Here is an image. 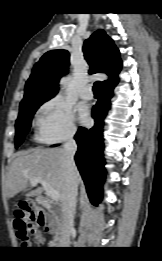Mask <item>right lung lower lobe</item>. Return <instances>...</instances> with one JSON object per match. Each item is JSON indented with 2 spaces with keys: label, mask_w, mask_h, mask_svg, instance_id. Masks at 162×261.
Here are the masks:
<instances>
[{
  "label": "right lung lower lobe",
  "mask_w": 162,
  "mask_h": 261,
  "mask_svg": "<svg viewBox=\"0 0 162 261\" xmlns=\"http://www.w3.org/2000/svg\"><path fill=\"white\" fill-rule=\"evenodd\" d=\"M113 88L103 89L92 117L95 125L91 129L80 127L75 135L78 151L75 155L76 165L86 185L90 201L97 205L102 199V185L105 179V160L103 157V125L107 111L111 107L110 99Z\"/></svg>",
  "instance_id": "98d812e1"
}]
</instances>
